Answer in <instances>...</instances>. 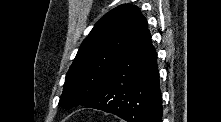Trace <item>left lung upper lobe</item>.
<instances>
[{
  "mask_svg": "<svg viewBox=\"0 0 221 122\" xmlns=\"http://www.w3.org/2000/svg\"><path fill=\"white\" fill-rule=\"evenodd\" d=\"M138 14L136 6L123 4L95 24L66 75L59 106H84L91 100L122 55Z\"/></svg>",
  "mask_w": 221,
  "mask_h": 122,
  "instance_id": "left-lung-upper-lobe-1",
  "label": "left lung upper lobe"
}]
</instances>
